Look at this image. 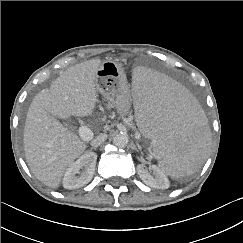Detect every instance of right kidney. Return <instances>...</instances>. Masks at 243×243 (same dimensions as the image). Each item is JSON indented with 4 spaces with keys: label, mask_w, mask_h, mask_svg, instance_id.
<instances>
[{
    "label": "right kidney",
    "mask_w": 243,
    "mask_h": 243,
    "mask_svg": "<svg viewBox=\"0 0 243 243\" xmlns=\"http://www.w3.org/2000/svg\"><path fill=\"white\" fill-rule=\"evenodd\" d=\"M96 160V153L87 152L72 163L64 174L63 187L72 190L89 183L94 175Z\"/></svg>",
    "instance_id": "right-kidney-1"
}]
</instances>
